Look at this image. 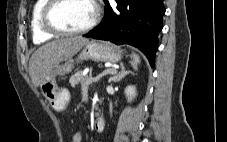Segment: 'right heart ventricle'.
<instances>
[{"mask_svg": "<svg viewBox=\"0 0 227 142\" xmlns=\"http://www.w3.org/2000/svg\"><path fill=\"white\" fill-rule=\"evenodd\" d=\"M47 2L48 0H36L31 12L30 28L33 41L37 44L44 43L54 37V34L44 30L41 23V12Z\"/></svg>", "mask_w": 227, "mask_h": 142, "instance_id": "e07e8e85", "label": "right heart ventricle"}]
</instances>
